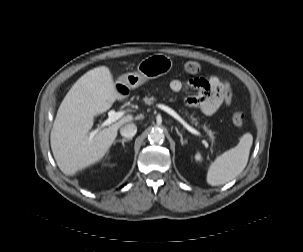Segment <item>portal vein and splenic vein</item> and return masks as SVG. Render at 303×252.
Segmentation results:
<instances>
[{
  "label": "portal vein and splenic vein",
  "mask_w": 303,
  "mask_h": 252,
  "mask_svg": "<svg viewBox=\"0 0 303 252\" xmlns=\"http://www.w3.org/2000/svg\"><path fill=\"white\" fill-rule=\"evenodd\" d=\"M158 108H160L161 110H164L165 112H167L168 114H170L171 116H173L175 119H177L180 123L183 124V126L185 128H187V130L189 132H191L192 134L198 135L200 136L201 133L194 129L193 127H191L189 124H187L173 109H171L170 107L163 105V104H158L157 105ZM124 115V112H116L115 110H110L108 112V118L102 123L101 127H105V126H109L110 124H112L113 122L117 121L118 119H120L122 116ZM98 133V131H94L90 134V138H93L96 134Z\"/></svg>",
  "instance_id": "obj_1"
}]
</instances>
